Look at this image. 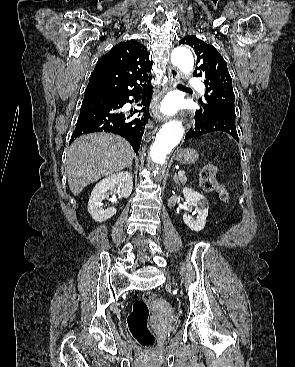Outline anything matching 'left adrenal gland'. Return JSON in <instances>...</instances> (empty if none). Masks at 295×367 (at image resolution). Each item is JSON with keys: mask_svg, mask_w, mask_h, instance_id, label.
<instances>
[{"mask_svg": "<svg viewBox=\"0 0 295 367\" xmlns=\"http://www.w3.org/2000/svg\"><path fill=\"white\" fill-rule=\"evenodd\" d=\"M173 180H174L176 183H178V178H177V174H176V173H174Z\"/></svg>", "mask_w": 295, "mask_h": 367, "instance_id": "a2214340", "label": "left adrenal gland"}]
</instances>
